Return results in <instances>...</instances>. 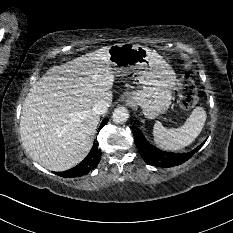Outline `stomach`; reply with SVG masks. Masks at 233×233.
Masks as SVG:
<instances>
[{
    "instance_id": "1",
    "label": "stomach",
    "mask_w": 233,
    "mask_h": 233,
    "mask_svg": "<svg viewBox=\"0 0 233 233\" xmlns=\"http://www.w3.org/2000/svg\"><path fill=\"white\" fill-rule=\"evenodd\" d=\"M108 56L115 74L136 73L142 84V89L129 94L127 102L130 105L140 106L145 117L150 119L169 109L176 75L161 56L131 42L110 46Z\"/></svg>"
}]
</instances>
